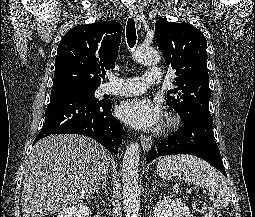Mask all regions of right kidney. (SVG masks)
Masks as SVG:
<instances>
[{"label":"right kidney","instance_id":"right-kidney-1","mask_svg":"<svg viewBox=\"0 0 255 217\" xmlns=\"http://www.w3.org/2000/svg\"><path fill=\"white\" fill-rule=\"evenodd\" d=\"M91 210L87 205L77 204L71 207L65 208L57 217H89Z\"/></svg>","mask_w":255,"mask_h":217}]
</instances>
